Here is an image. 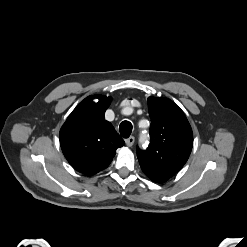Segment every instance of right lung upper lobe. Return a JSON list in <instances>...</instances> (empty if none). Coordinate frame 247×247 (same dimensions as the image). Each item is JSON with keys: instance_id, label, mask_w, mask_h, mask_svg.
Wrapping results in <instances>:
<instances>
[{"instance_id": "obj_1", "label": "right lung upper lobe", "mask_w": 247, "mask_h": 247, "mask_svg": "<svg viewBox=\"0 0 247 247\" xmlns=\"http://www.w3.org/2000/svg\"><path fill=\"white\" fill-rule=\"evenodd\" d=\"M98 98V102L93 100ZM111 98L88 96L69 115L60 130V146L71 166L87 176L108 167L125 142L104 114Z\"/></svg>"}]
</instances>
